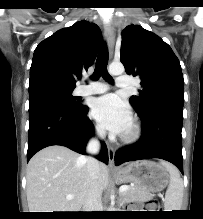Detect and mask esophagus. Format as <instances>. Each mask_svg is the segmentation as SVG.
<instances>
[{"label":"esophagus","mask_w":203,"mask_h":219,"mask_svg":"<svg viewBox=\"0 0 203 219\" xmlns=\"http://www.w3.org/2000/svg\"><path fill=\"white\" fill-rule=\"evenodd\" d=\"M104 36L107 42L109 56L112 58L115 44V34L113 28L109 24L104 25ZM115 150L113 146L108 144L109 166L114 167Z\"/></svg>","instance_id":"esophagus-1"}]
</instances>
